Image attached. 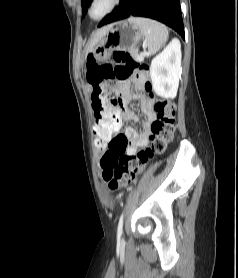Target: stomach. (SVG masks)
Instances as JSON below:
<instances>
[{"label":"stomach","mask_w":238,"mask_h":278,"mask_svg":"<svg viewBox=\"0 0 238 278\" xmlns=\"http://www.w3.org/2000/svg\"><path fill=\"white\" fill-rule=\"evenodd\" d=\"M138 25L132 21H118L108 26L105 35L91 50L95 60L104 63L115 50H132L143 38Z\"/></svg>","instance_id":"obj_1"}]
</instances>
